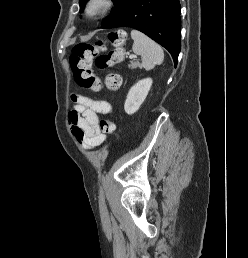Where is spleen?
I'll return each mask as SVG.
<instances>
[{
	"label": "spleen",
	"instance_id": "obj_1",
	"mask_svg": "<svg viewBox=\"0 0 248 258\" xmlns=\"http://www.w3.org/2000/svg\"><path fill=\"white\" fill-rule=\"evenodd\" d=\"M131 37L134 40L132 46L133 52L137 55H141V67L150 70L154 68L155 65L163 63V50L155 41L138 30H132Z\"/></svg>",
	"mask_w": 248,
	"mask_h": 258
}]
</instances>
